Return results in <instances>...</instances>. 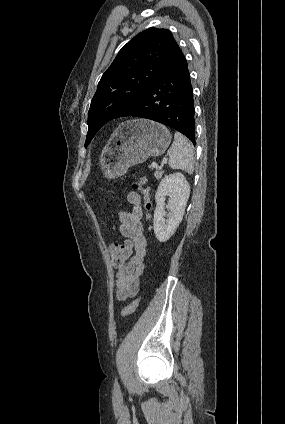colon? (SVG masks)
Listing matches in <instances>:
<instances>
[{"label":"colon","mask_w":285,"mask_h":424,"mask_svg":"<svg viewBox=\"0 0 285 424\" xmlns=\"http://www.w3.org/2000/svg\"><path fill=\"white\" fill-rule=\"evenodd\" d=\"M105 188H101V190H104ZM133 189L137 191H141L145 197L146 207L147 209H150L151 202L149 199V191L146 186V179L141 177L139 178L134 184ZM108 251L112 260V263L114 266L121 265L130 255L131 252V245L129 242L124 243H112L108 247ZM139 300L136 299L132 303H130L128 306L124 308L122 311V316L126 317L134 313L136 308L138 307Z\"/></svg>","instance_id":"colon-1"}]
</instances>
